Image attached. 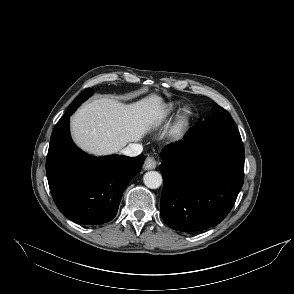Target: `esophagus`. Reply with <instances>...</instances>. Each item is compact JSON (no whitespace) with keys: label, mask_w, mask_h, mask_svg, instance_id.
I'll return each mask as SVG.
<instances>
[{"label":"esophagus","mask_w":294,"mask_h":294,"mask_svg":"<svg viewBox=\"0 0 294 294\" xmlns=\"http://www.w3.org/2000/svg\"><path fill=\"white\" fill-rule=\"evenodd\" d=\"M156 161L154 160L153 157L148 156L145 161H144V165H143V169L144 170H152L156 168Z\"/></svg>","instance_id":"esophagus-1"}]
</instances>
